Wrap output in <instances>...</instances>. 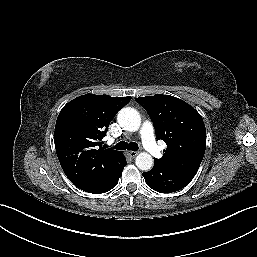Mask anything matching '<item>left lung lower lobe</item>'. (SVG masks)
<instances>
[{"label":"left lung lower lobe","instance_id":"left-lung-lower-lobe-1","mask_svg":"<svg viewBox=\"0 0 257 257\" xmlns=\"http://www.w3.org/2000/svg\"><path fill=\"white\" fill-rule=\"evenodd\" d=\"M196 173L182 168L154 162L153 168L143 173L147 185L160 193L178 191L188 185Z\"/></svg>","mask_w":257,"mask_h":257}]
</instances>
